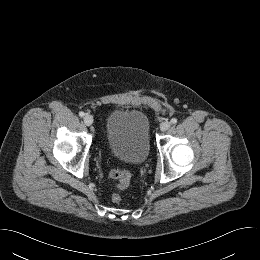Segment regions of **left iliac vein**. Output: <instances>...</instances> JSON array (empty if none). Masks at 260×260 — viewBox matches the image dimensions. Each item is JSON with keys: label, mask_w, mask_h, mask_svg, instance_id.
Masks as SVG:
<instances>
[{"label": "left iliac vein", "mask_w": 260, "mask_h": 260, "mask_svg": "<svg viewBox=\"0 0 260 260\" xmlns=\"http://www.w3.org/2000/svg\"><path fill=\"white\" fill-rule=\"evenodd\" d=\"M170 126H171V123L169 121H165V122L161 123L160 130L166 131L170 128Z\"/></svg>", "instance_id": "left-iliac-vein-1"}]
</instances>
